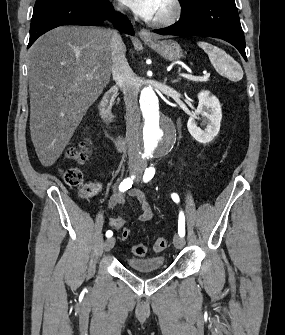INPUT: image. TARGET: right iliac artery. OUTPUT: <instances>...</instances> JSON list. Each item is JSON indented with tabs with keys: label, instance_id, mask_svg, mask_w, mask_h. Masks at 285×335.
I'll return each instance as SVG.
<instances>
[{
	"label": "right iliac artery",
	"instance_id": "obj_1",
	"mask_svg": "<svg viewBox=\"0 0 285 335\" xmlns=\"http://www.w3.org/2000/svg\"><path fill=\"white\" fill-rule=\"evenodd\" d=\"M135 176H131V177H128L126 179H124L120 185H119V190L121 192H125L126 190H128L129 188L132 187V184H133V179H134ZM113 235V232L111 230H108L106 232V237H111Z\"/></svg>",
	"mask_w": 285,
	"mask_h": 335
}]
</instances>
